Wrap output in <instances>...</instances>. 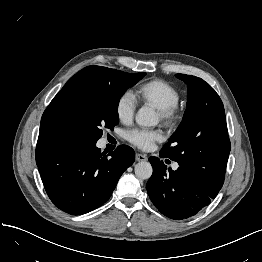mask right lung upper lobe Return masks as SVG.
<instances>
[{"mask_svg":"<svg viewBox=\"0 0 262 262\" xmlns=\"http://www.w3.org/2000/svg\"><path fill=\"white\" fill-rule=\"evenodd\" d=\"M99 68H103V67H100V66H88V67L82 69L81 71L93 70V69H99ZM43 132H51V131L48 129V127L45 125L44 121H42V119H41L40 133H43Z\"/></svg>","mask_w":262,"mask_h":262,"instance_id":"right-lung-upper-lobe-1","label":"right lung upper lobe"}]
</instances>
